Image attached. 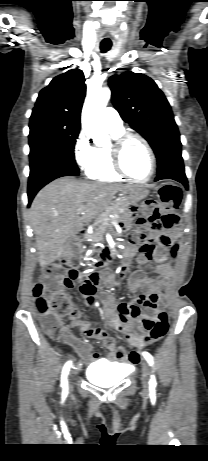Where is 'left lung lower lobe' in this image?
<instances>
[{
    "label": "left lung lower lobe",
    "mask_w": 208,
    "mask_h": 461,
    "mask_svg": "<svg viewBox=\"0 0 208 461\" xmlns=\"http://www.w3.org/2000/svg\"><path fill=\"white\" fill-rule=\"evenodd\" d=\"M162 179H173L180 183H182L186 189H188V182L184 171L183 160H178L167 167H165L162 171L157 174L155 181L162 180Z\"/></svg>",
    "instance_id": "0a47b994"
}]
</instances>
